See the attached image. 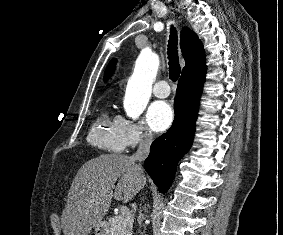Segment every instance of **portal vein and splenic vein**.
Segmentation results:
<instances>
[{"mask_svg":"<svg viewBox=\"0 0 283 235\" xmlns=\"http://www.w3.org/2000/svg\"><path fill=\"white\" fill-rule=\"evenodd\" d=\"M119 209L122 215H129V209L126 206H120Z\"/></svg>","mask_w":283,"mask_h":235,"instance_id":"18ae733b","label":"portal vein and splenic vein"}]
</instances>
